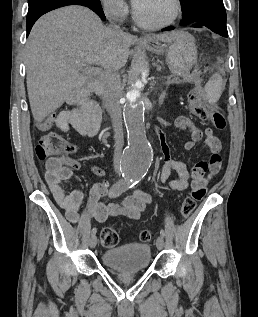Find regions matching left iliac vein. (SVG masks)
<instances>
[{
    "label": "left iliac vein",
    "mask_w": 258,
    "mask_h": 317,
    "mask_svg": "<svg viewBox=\"0 0 258 317\" xmlns=\"http://www.w3.org/2000/svg\"><path fill=\"white\" fill-rule=\"evenodd\" d=\"M156 241H157V245H156V246H157V248H158V252H160V249H161V248H164V246H165V244H166V243H165V240H164L163 237H160V236H159Z\"/></svg>",
    "instance_id": "obj_1"
}]
</instances>
